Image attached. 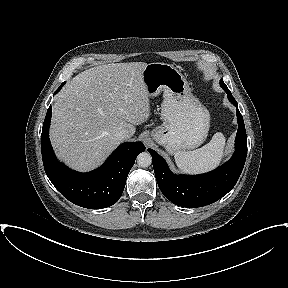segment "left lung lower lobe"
<instances>
[{
    "label": "left lung lower lobe",
    "instance_id": "0a47b994",
    "mask_svg": "<svg viewBox=\"0 0 288 288\" xmlns=\"http://www.w3.org/2000/svg\"><path fill=\"white\" fill-rule=\"evenodd\" d=\"M229 101L236 106L238 131L236 149L231 159L217 169L201 175H175L165 160L154 150L152 156L155 177L161 192L178 206L196 208L212 204L225 196L236 184L247 156V135L238 104L229 89L225 90Z\"/></svg>",
    "mask_w": 288,
    "mask_h": 288
}]
</instances>
